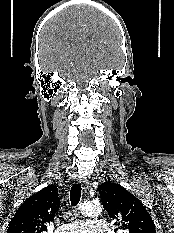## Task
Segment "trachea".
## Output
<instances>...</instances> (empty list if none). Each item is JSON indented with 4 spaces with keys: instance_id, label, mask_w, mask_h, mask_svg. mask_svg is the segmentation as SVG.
Instances as JSON below:
<instances>
[{
    "instance_id": "3493384b",
    "label": "trachea",
    "mask_w": 174,
    "mask_h": 233,
    "mask_svg": "<svg viewBox=\"0 0 174 233\" xmlns=\"http://www.w3.org/2000/svg\"><path fill=\"white\" fill-rule=\"evenodd\" d=\"M81 184H73L70 190V201L73 206H77L81 197Z\"/></svg>"
}]
</instances>
